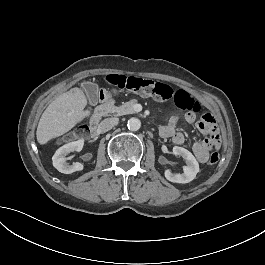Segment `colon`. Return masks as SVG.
Wrapping results in <instances>:
<instances>
[{"label": "colon", "mask_w": 265, "mask_h": 265, "mask_svg": "<svg viewBox=\"0 0 265 265\" xmlns=\"http://www.w3.org/2000/svg\"><path fill=\"white\" fill-rule=\"evenodd\" d=\"M106 82L118 89L127 90L133 94L153 97L160 101H173L176 106L184 111L198 114L201 111V103L194 99L188 92L182 89H174L171 85L142 78L136 75L110 74ZM71 137V134L68 135ZM219 160V153L213 152L209 156V163L215 164Z\"/></svg>", "instance_id": "1"}]
</instances>
